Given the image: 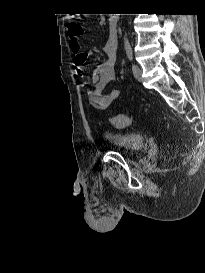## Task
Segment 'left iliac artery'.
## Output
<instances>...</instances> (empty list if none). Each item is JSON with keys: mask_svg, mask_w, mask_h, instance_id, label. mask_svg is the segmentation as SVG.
<instances>
[{"mask_svg": "<svg viewBox=\"0 0 205 273\" xmlns=\"http://www.w3.org/2000/svg\"><path fill=\"white\" fill-rule=\"evenodd\" d=\"M125 50H126V54L129 58V60L132 61L133 59V53H132V48H131V45L128 41L125 42Z\"/></svg>", "mask_w": 205, "mask_h": 273, "instance_id": "left-iliac-artery-1", "label": "left iliac artery"}]
</instances>
